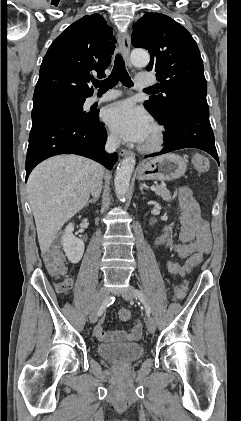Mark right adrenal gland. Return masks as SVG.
I'll list each match as a JSON object with an SVG mask.
<instances>
[{"mask_svg":"<svg viewBox=\"0 0 241 421\" xmlns=\"http://www.w3.org/2000/svg\"><path fill=\"white\" fill-rule=\"evenodd\" d=\"M97 200H98V197H95V198H93V199H90V200L87 202V204H86V205H89V204H95V203L97 202Z\"/></svg>","mask_w":241,"mask_h":421,"instance_id":"1","label":"right adrenal gland"}]
</instances>
